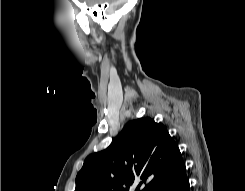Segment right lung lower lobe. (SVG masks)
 <instances>
[{
  "instance_id": "1",
  "label": "right lung lower lobe",
  "mask_w": 245,
  "mask_h": 191,
  "mask_svg": "<svg viewBox=\"0 0 245 191\" xmlns=\"http://www.w3.org/2000/svg\"><path fill=\"white\" fill-rule=\"evenodd\" d=\"M153 191H190V185L186 176V167L175 173L170 178L160 182Z\"/></svg>"
}]
</instances>
